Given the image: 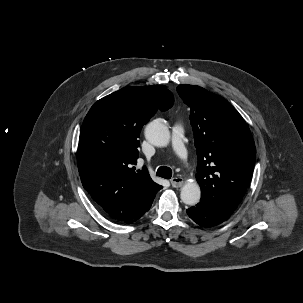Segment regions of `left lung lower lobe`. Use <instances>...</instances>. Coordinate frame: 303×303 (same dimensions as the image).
<instances>
[{
    "label": "left lung lower lobe",
    "instance_id": "1",
    "mask_svg": "<svg viewBox=\"0 0 303 303\" xmlns=\"http://www.w3.org/2000/svg\"><path fill=\"white\" fill-rule=\"evenodd\" d=\"M189 217L198 225L213 227L227 220L233 213H230L221 205L207 199H201L200 203L187 209Z\"/></svg>",
    "mask_w": 303,
    "mask_h": 303
}]
</instances>
